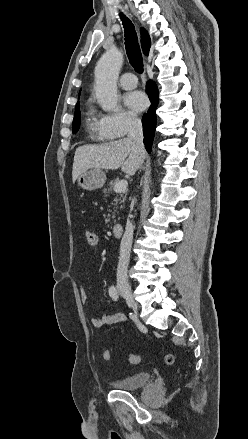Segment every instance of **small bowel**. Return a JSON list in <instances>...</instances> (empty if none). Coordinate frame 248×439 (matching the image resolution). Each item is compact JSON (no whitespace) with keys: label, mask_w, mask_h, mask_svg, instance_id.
Masks as SVG:
<instances>
[{"label":"small bowel","mask_w":248,"mask_h":439,"mask_svg":"<svg viewBox=\"0 0 248 439\" xmlns=\"http://www.w3.org/2000/svg\"><path fill=\"white\" fill-rule=\"evenodd\" d=\"M80 297L83 302L87 299V295L83 286L80 287ZM123 321H125V316L122 313L102 314L100 316L92 318L91 324L95 328H101L104 326H111Z\"/></svg>","instance_id":"1"}]
</instances>
